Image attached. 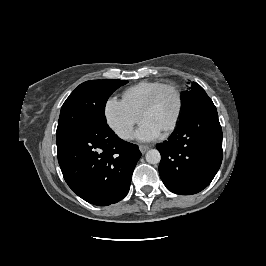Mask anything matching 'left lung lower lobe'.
Listing matches in <instances>:
<instances>
[{
	"label": "left lung lower lobe",
	"instance_id": "1",
	"mask_svg": "<svg viewBox=\"0 0 266 266\" xmlns=\"http://www.w3.org/2000/svg\"><path fill=\"white\" fill-rule=\"evenodd\" d=\"M156 148L161 154L160 177L171 192L191 195L206 188L222 162V128L212 100L187 112Z\"/></svg>",
	"mask_w": 266,
	"mask_h": 266
}]
</instances>
